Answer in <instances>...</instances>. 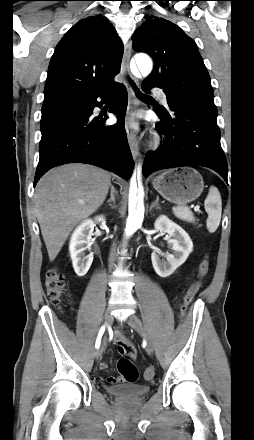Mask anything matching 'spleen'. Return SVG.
Wrapping results in <instances>:
<instances>
[{"label":"spleen","mask_w":254,"mask_h":440,"mask_svg":"<svg viewBox=\"0 0 254 440\" xmlns=\"http://www.w3.org/2000/svg\"><path fill=\"white\" fill-rule=\"evenodd\" d=\"M205 210L208 213L206 221L207 229L210 233H214L221 221L222 200L217 187L211 186L209 193L204 202ZM176 217L184 221H194V216L189 207L178 206L174 211Z\"/></svg>","instance_id":"1"}]
</instances>
